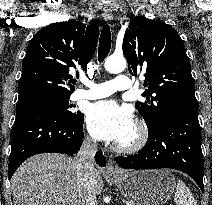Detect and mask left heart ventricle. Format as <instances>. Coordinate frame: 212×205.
Returning a JSON list of instances; mask_svg holds the SVG:
<instances>
[{"mask_svg":"<svg viewBox=\"0 0 212 205\" xmlns=\"http://www.w3.org/2000/svg\"><path fill=\"white\" fill-rule=\"evenodd\" d=\"M134 137H135V129H133V131L124 140L120 141L119 143H128L132 141Z\"/></svg>","mask_w":212,"mask_h":205,"instance_id":"b2bd125f","label":"left heart ventricle"}]
</instances>
